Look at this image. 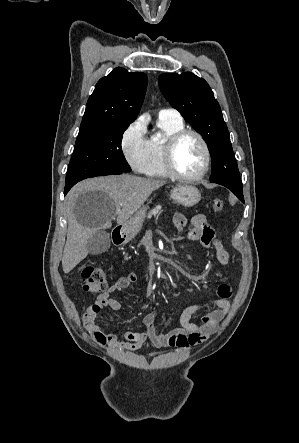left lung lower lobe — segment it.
Here are the masks:
<instances>
[{"label": "left lung lower lobe", "instance_id": "left-lung-lower-lobe-1", "mask_svg": "<svg viewBox=\"0 0 299 443\" xmlns=\"http://www.w3.org/2000/svg\"><path fill=\"white\" fill-rule=\"evenodd\" d=\"M212 183L220 184V185L227 187L244 203L242 186L235 185V184H232L229 182H212Z\"/></svg>", "mask_w": 299, "mask_h": 443}]
</instances>
